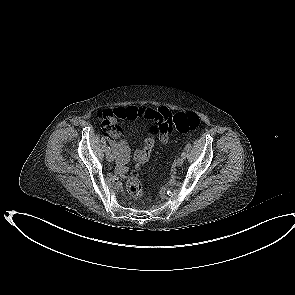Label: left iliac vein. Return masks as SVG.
I'll return each mask as SVG.
<instances>
[{
  "label": "left iliac vein",
  "instance_id": "obj_1",
  "mask_svg": "<svg viewBox=\"0 0 295 295\" xmlns=\"http://www.w3.org/2000/svg\"><path fill=\"white\" fill-rule=\"evenodd\" d=\"M183 162H184L183 157H179V158L176 160V165H177L178 167H180V166H182Z\"/></svg>",
  "mask_w": 295,
  "mask_h": 295
}]
</instances>
